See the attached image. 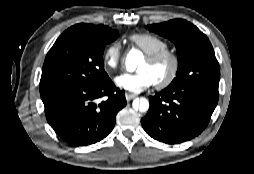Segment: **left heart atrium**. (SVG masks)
<instances>
[{
    "instance_id": "39dd6f15",
    "label": "left heart atrium",
    "mask_w": 254,
    "mask_h": 174,
    "mask_svg": "<svg viewBox=\"0 0 254 174\" xmlns=\"http://www.w3.org/2000/svg\"><path fill=\"white\" fill-rule=\"evenodd\" d=\"M115 83L118 87L133 93L141 92L155 84L150 74L145 71L120 74L115 78Z\"/></svg>"
}]
</instances>
